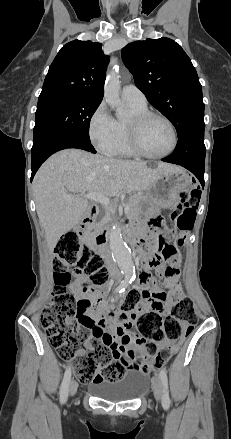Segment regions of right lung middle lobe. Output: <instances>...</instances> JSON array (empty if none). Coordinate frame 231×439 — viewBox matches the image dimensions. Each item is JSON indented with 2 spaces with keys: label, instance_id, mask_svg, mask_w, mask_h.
Returning a JSON list of instances; mask_svg holds the SVG:
<instances>
[{
  "label": "right lung middle lobe",
  "instance_id": "right-lung-middle-lobe-1",
  "mask_svg": "<svg viewBox=\"0 0 231 439\" xmlns=\"http://www.w3.org/2000/svg\"><path fill=\"white\" fill-rule=\"evenodd\" d=\"M101 101L83 97H54L38 101L33 147L59 133L90 141L89 124Z\"/></svg>",
  "mask_w": 231,
  "mask_h": 439
}]
</instances>
